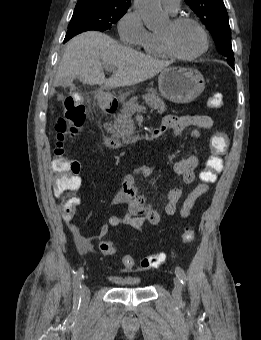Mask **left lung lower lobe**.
<instances>
[{"mask_svg": "<svg viewBox=\"0 0 261 340\" xmlns=\"http://www.w3.org/2000/svg\"><path fill=\"white\" fill-rule=\"evenodd\" d=\"M229 65H230L232 68H234V63H229Z\"/></svg>", "mask_w": 261, "mask_h": 340, "instance_id": "left-lung-lower-lobe-1", "label": "left lung lower lobe"}]
</instances>
